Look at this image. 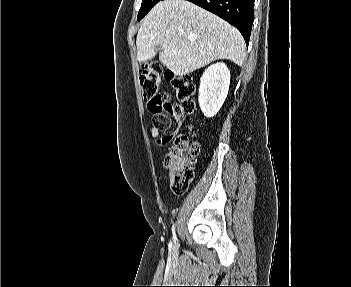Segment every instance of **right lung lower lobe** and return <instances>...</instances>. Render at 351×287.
<instances>
[{
  "mask_svg": "<svg viewBox=\"0 0 351 287\" xmlns=\"http://www.w3.org/2000/svg\"><path fill=\"white\" fill-rule=\"evenodd\" d=\"M234 25L248 45L253 18L254 0H188Z\"/></svg>",
  "mask_w": 351,
  "mask_h": 287,
  "instance_id": "obj_1",
  "label": "right lung lower lobe"
}]
</instances>
